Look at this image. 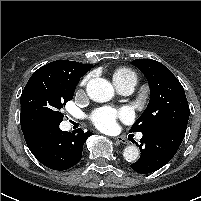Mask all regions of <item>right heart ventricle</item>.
I'll list each match as a JSON object with an SVG mask.
<instances>
[{
  "label": "right heart ventricle",
  "instance_id": "e07e8e85",
  "mask_svg": "<svg viewBox=\"0 0 201 201\" xmlns=\"http://www.w3.org/2000/svg\"><path fill=\"white\" fill-rule=\"evenodd\" d=\"M112 79L115 86H120L126 82L134 81L137 82L136 73L127 67L116 68L112 73Z\"/></svg>",
  "mask_w": 201,
  "mask_h": 201
}]
</instances>
